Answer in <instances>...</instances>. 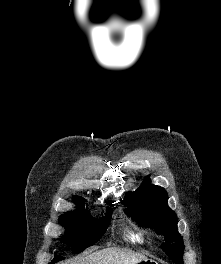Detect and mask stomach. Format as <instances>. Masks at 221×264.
Listing matches in <instances>:
<instances>
[{
    "instance_id": "0dacf381",
    "label": "stomach",
    "mask_w": 221,
    "mask_h": 264,
    "mask_svg": "<svg viewBox=\"0 0 221 264\" xmlns=\"http://www.w3.org/2000/svg\"><path fill=\"white\" fill-rule=\"evenodd\" d=\"M137 264H159L157 261L152 260V259H144L138 262Z\"/></svg>"
}]
</instances>
